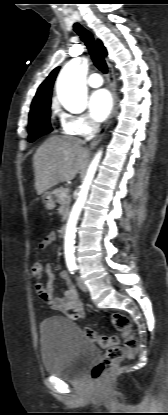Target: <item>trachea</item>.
<instances>
[{"mask_svg": "<svg viewBox=\"0 0 168 415\" xmlns=\"http://www.w3.org/2000/svg\"><path fill=\"white\" fill-rule=\"evenodd\" d=\"M75 32L81 37L82 41L87 46L94 65L104 74L107 73V64L92 36V34L79 23L73 25Z\"/></svg>", "mask_w": 168, "mask_h": 415, "instance_id": "obj_1", "label": "trachea"}]
</instances>
